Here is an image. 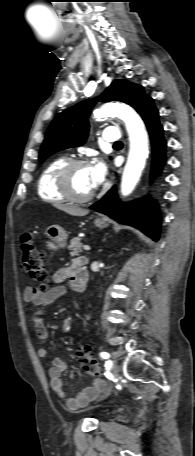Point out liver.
<instances>
[{
  "label": "liver",
  "instance_id": "liver-1",
  "mask_svg": "<svg viewBox=\"0 0 195 456\" xmlns=\"http://www.w3.org/2000/svg\"><path fill=\"white\" fill-rule=\"evenodd\" d=\"M54 207L57 209L68 213L69 215L73 216H85L89 213L87 209H82L78 206L70 205V204H62V203H55L53 204Z\"/></svg>",
  "mask_w": 195,
  "mask_h": 456
}]
</instances>
